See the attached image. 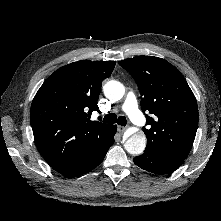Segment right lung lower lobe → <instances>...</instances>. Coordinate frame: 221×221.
Listing matches in <instances>:
<instances>
[{"label": "right lung lower lobe", "mask_w": 221, "mask_h": 221, "mask_svg": "<svg viewBox=\"0 0 221 221\" xmlns=\"http://www.w3.org/2000/svg\"><path fill=\"white\" fill-rule=\"evenodd\" d=\"M116 129V125L110 127L105 145L95 154L62 170H57V172L65 176H78L93 170L102 162L108 149L113 145Z\"/></svg>", "instance_id": "obj_1"}]
</instances>
